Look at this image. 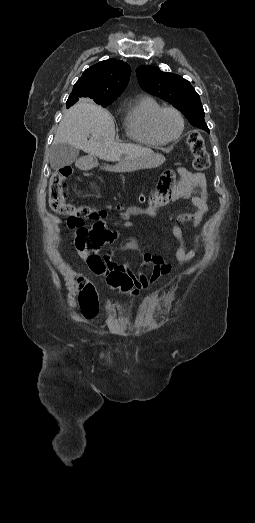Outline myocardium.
Here are the masks:
<instances>
[{
  "instance_id": "1",
  "label": "myocardium",
  "mask_w": 255,
  "mask_h": 523,
  "mask_svg": "<svg viewBox=\"0 0 255 523\" xmlns=\"http://www.w3.org/2000/svg\"><path fill=\"white\" fill-rule=\"evenodd\" d=\"M165 111H172L174 112L178 118H179V121H180V130H179V133L173 137V138H170V139H166L164 138L159 130H158V126H157V123H158V119L160 117V115L165 112ZM184 128H185V119H184V116L182 114V112L177 109L176 107H173V106H162L160 107L153 115L152 119H151V129H152V132L153 134L160 140L162 141L163 143H170V142H173V141H176L178 140L181 135L183 134L184 132Z\"/></svg>"
}]
</instances>
